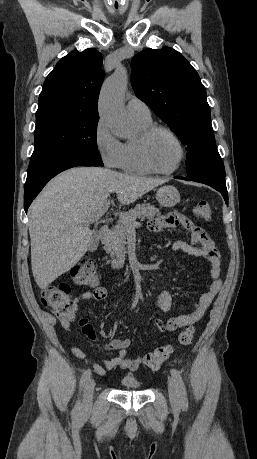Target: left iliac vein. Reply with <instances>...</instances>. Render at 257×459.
Wrapping results in <instances>:
<instances>
[{
  "label": "left iliac vein",
  "instance_id": "left-iliac-vein-1",
  "mask_svg": "<svg viewBox=\"0 0 257 459\" xmlns=\"http://www.w3.org/2000/svg\"><path fill=\"white\" fill-rule=\"evenodd\" d=\"M168 394L172 407L178 409L180 407V398L177 385L173 379L168 380Z\"/></svg>",
  "mask_w": 257,
  "mask_h": 459
}]
</instances>
